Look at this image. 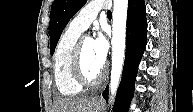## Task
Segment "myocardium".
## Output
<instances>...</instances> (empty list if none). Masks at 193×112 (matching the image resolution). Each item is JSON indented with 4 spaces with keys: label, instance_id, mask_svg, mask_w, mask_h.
Here are the masks:
<instances>
[{
    "label": "myocardium",
    "instance_id": "obj_1",
    "mask_svg": "<svg viewBox=\"0 0 193 112\" xmlns=\"http://www.w3.org/2000/svg\"><path fill=\"white\" fill-rule=\"evenodd\" d=\"M85 38L78 39L72 54L71 70L75 81L82 87H91L99 84L106 76L107 66L104 64L101 72L95 78H89L83 69L82 52L83 41Z\"/></svg>",
    "mask_w": 193,
    "mask_h": 112
}]
</instances>
